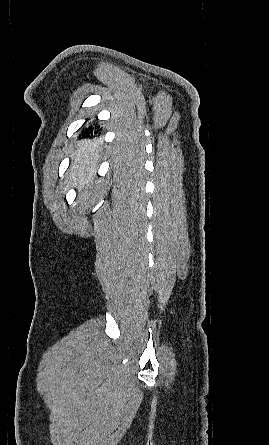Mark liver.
Returning a JSON list of instances; mask_svg holds the SVG:
<instances>
[{"label":"liver","mask_w":269,"mask_h":445,"mask_svg":"<svg viewBox=\"0 0 269 445\" xmlns=\"http://www.w3.org/2000/svg\"><path fill=\"white\" fill-rule=\"evenodd\" d=\"M99 156V143L81 141L77 144L69 170L68 180L71 186L84 187L92 180Z\"/></svg>","instance_id":"liver-1"}]
</instances>
